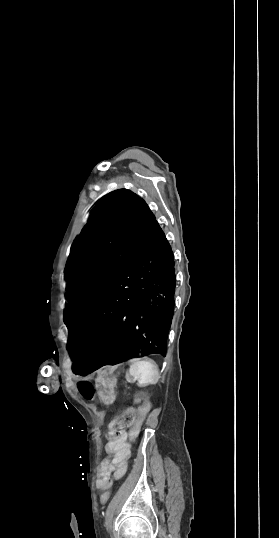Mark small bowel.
<instances>
[{
  "label": "small bowel",
  "mask_w": 279,
  "mask_h": 538,
  "mask_svg": "<svg viewBox=\"0 0 279 538\" xmlns=\"http://www.w3.org/2000/svg\"><path fill=\"white\" fill-rule=\"evenodd\" d=\"M81 394L86 399H92L94 397V392L90 390L85 384H80ZM128 435L123 433L114 443L115 457L113 459V467L111 473L113 472V478H121L127 469V460L130 455V444L127 442ZM110 485V476L105 481H97V486L100 489H105Z\"/></svg>",
  "instance_id": "1"
}]
</instances>
